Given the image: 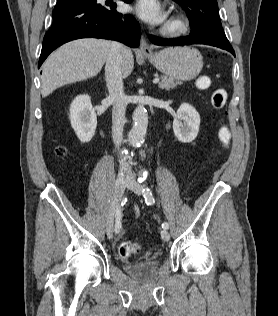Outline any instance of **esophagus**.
<instances>
[{
	"label": "esophagus",
	"instance_id": "esophagus-1",
	"mask_svg": "<svg viewBox=\"0 0 278 316\" xmlns=\"http://www.w3.org/2000/svg\"><path fill=\"white\" fill-rule=\"evenodd\" d=\"M140 52L145 54V55H149L152 53V49L151 47L148 45L145 37H141V41H140Z\"/></svg>",
	"mask_w": 278,
	"mask_h": 316
}]
</instances>
